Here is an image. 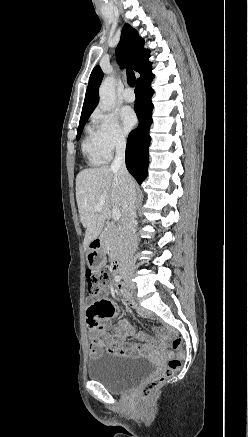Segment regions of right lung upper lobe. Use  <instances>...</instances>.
I'll use <instances>...</instances> for the list:
<instances>
[{
    "label": "right lung upper lobe",
    "instance_id": "right-lung-upper-lobe-1",
    "mask_svg": "<svg viewBox=\"0 0 248 437\" xmlns=\"http://www.w3.org/2000/svg\"><path fill=\"white\" fill-rule=\"evenodd\" d=\"M144 39L129 24H125L122 29L121 39L116 48L118 63L123 66L126 63L140 73L142 77L151 70V62H148L150 51L144 49ZM103 78L100 66H96L89 78L83 104L80 121L89 117L99 102L98 88ZM139 79V78H138Z\"/></svg>",
    "mask_w": 248,
    "mask_h": 437
}]
</instances>
